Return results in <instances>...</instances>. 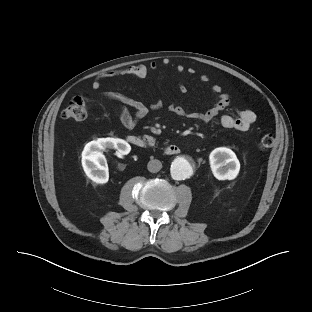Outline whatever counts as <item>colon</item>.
Wrapping results in <instances>:
<instances>
[{
  "label": "colon",
  "instance_id": "obj_1",
  "mask_svg": "<svg viewBox=\"0 0 312 312\" xmlns=\"http://www.w3.org/2000/svg\"><path fill=\"white\" fill-rule=\"evenodd\" d=\"M87 101L82 96L73 97L66 108L62 111V118L74 121H82L88 117ZM274 144V137L271 134L263 135L258 143L261 150H267Z\"/></svg>",
  "mask_w": 312,
  "mask_h": 312
}]
</instances>
